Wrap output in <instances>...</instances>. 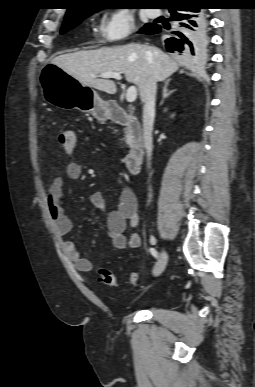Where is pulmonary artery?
<instances>
[{
    "mask_svg": "<svg viewBox=\"0 0 255 387\" xmlns=\"http://www.w3.org/2000/svg\"><path fill=\"white\" fill-rule=\"evenodd\" d=\"M147 13L151 18H155V17H158L160 15V10L159 9H149V10H147Z\"/></svg>",
    "mask_w": 255,
    "mask_h": 387,
    "instance_id": "obj_1",
    "label": "pulmonary artery"
}]
</instances>
